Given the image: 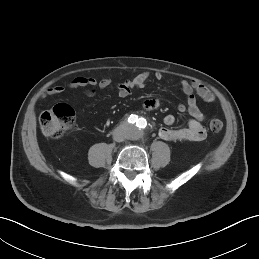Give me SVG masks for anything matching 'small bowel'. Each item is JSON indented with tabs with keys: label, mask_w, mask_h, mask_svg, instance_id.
<instances>
[{
	"label": "small bowel",
	"mask_w": 259,
	"mask_h": 259,
	"mask_svg": "<svg viewBox=\"0 0 259 259\" xmlns=\"http://www.w3.org/2000/svg\"><path fill=\"white\" fill-rule=\"evenodd\" d=\"M151 74L147 71L141 72L134 78L119 83L116 88L120 97H127L131 94L133 89H141L145 86L149 80ZM154 77L157 80L163 79L164 75L162 72H156ZM111 84V80L108 77H103L100 80L95 79L91 76H81L73 79L68 83L67 87L57 85L46 89L42 94L41 98H47L49 96L60 95L66 89H85V93L88 96L94 95L97 90H104ZM180 87L186 96V104H179L178 111L181 113L187 112L190 115L188 126L186 128L173 129L169 128L175 122V117L171 114L166 115L164 118V124L167 127L159 129V136L163 140L172 142H183V141H201L206 137V129L203 125L205 121V115L200 110L196 94L206 102H213L215 100L212 92L204 85L198 82H190L182 80ZM160 106V101L157 99H148L144 101L142 107L145 111H152Z\"/></svg>",
	"instance_id": "1"
}]
</instances>
